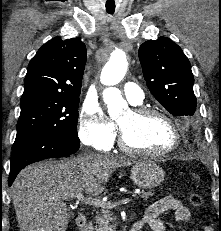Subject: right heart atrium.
Returning <instances> with one entry per match:
<instances>
[{
	"label": "right heart atrium",
	"instance_id": "d8ad5b80",
	"mask_svg": "<svg viewBox=\"0 0 221 231\" xmlns=\"http://www.w3.org/2000/svg\"><path fill=\"white\" fill-rule=\"evenodd\" d=\"M81 142L96 150L111 147L116 138V126L106 116L101 105L91 99L84 102L78 125Z\"/></svg>",
	"mask_w": 221,
	"mask_h": 231
}]
</instances>
